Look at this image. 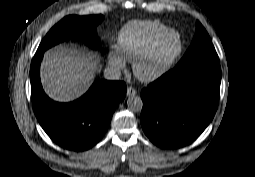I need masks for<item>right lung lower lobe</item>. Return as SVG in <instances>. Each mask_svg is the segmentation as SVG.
Segmentation results:
<instances>
[{
  "instance_id": "1",
  "label": "right lung lower lobe",
  "mask_w": 255,
  "mask_h": 177,
  "mask_svg": "<svg viewBox=\"0 0 255 177\" xmlns=\"http://www.w3.org/2000/svg\"><path fill=\"white\" fill-rule=\"evenodd\" d=\"M44 52H36L30 67L34 113L48 136L58 145L76 151L87 150L105 134L112 114L125 98L126 84L95 81L88 92L71 103L52 101L43 91L39 68Z\"/></svg>"
}]
</instances>
